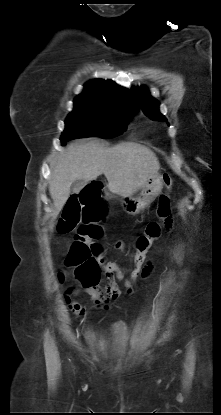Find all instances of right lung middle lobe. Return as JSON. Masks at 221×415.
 <instances>
[{"mask_svg":"<svg viewBox=\"0 0 221 415\" xmlns=\"http://www.w3.org/2000/svg\"><path fill=\"white\" fill-rule=\"evenodd\" d=\"M133 113L134 110L128 108L74 103V110L65 121L61 142L64 145L67 141L76 138L118 136L126 130Z\"/></svg>","mask_w":221,"mask_h":415,"instance_id":"right-lung-middle-lobe-1","label":"right lung middle lobe"}]
</instances>
